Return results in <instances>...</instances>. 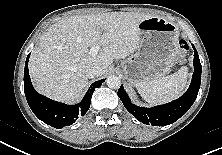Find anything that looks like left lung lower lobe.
<instances>
[{
	"mask_svg": "<svg viewBox=\"0 0 222 155\" xmlns=\"http://www.w3.org/2000/svg\"><path fill=\"white\" fill-rule=\"evenodd\" d=\"M194 49V73L188 90L178 99L152 108L138 107L131 103L123 86L118 90V96L125 108L144 124L165 126L174 123L183 116L194 103L201 83V64L196 48Z\"/></svg>",
	"mask_w": 222,
	"mask_h": 155,
	"instance_id": "0a47b994",
	"label": "left lung lower lobe"
}]
</instances>
